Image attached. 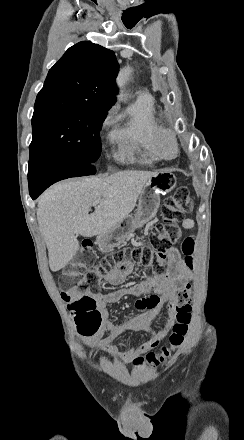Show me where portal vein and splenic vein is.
<instances>
[{
    "mask_svg": "<svg viewBox=\"0 0 244 440\" xmlns=\"http://www.w3.org/2000/svg\"><path fill=\"white\" fill-rule=\"evenodd\" d=\"M98 204H100V200H98V202H94V206H98Z\"/></svg>",
    "mask_w": 244,
    "mask_h": 440,
    "instance_id": "obj_1",
    "label": "portal vein and splenic vein"
}]
</instances>
